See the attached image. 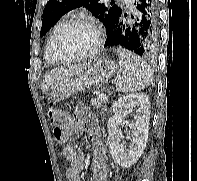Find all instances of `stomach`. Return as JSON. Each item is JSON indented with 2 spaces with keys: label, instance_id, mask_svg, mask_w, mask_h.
<instances>
[{
  "label": "stomach",
  "instance_id": "obj_1",
  "mask_svg": "<svg viewBox=\"0 0 197 181\" xmlns=\"http://www.w3.org/2000/svg\"><path fill=\"white\" fill-rule=\"evenodd\" d=\"M118 71V65L111 59L98 58L89 61L84 69L57 81L52 87L51 98L56 103L87 88L101 86Z\"/></svg>",
  "mask_w": 197,
  "mask_h": 181
}]
</instances>
